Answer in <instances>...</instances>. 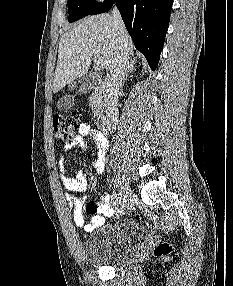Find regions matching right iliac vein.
<instances>
[{"label":"right iliac vein","mask_w":233,"mask_h":286,"mask_svg":"<svg viewBox=\"0 0 233 286\" xmlns=\"http://www.w3.org/2000/svg\"><path fill=\"white\" fill-rule=\"evenodd\" d=\"M120 201L118 203V217L119 215H122L124 210L128 207L129 201L132 199L133 194L129 188V186L125 183V185L122 187L120 192Z\"/></svg>","instance_id":"63e3f726"}]
</instances>
